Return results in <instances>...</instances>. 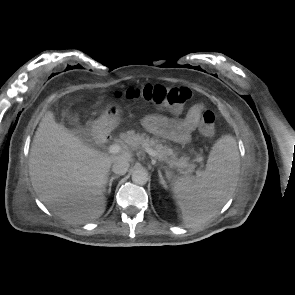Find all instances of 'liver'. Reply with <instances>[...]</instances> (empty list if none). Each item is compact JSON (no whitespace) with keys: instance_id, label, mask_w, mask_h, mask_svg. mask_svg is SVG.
I'll use <instances>...</instances> for the list:
<instances>
[{"instance_id":"6515ba94","label":"liver","mask_w":295,"mask_h":295,"mask_svg":"<svg viewBox=\"0 0 295 295\" xmlns=\"http://www.w3.org/2000/svg\"><path fill=\"white\" fill-rule=\"evenodd\" d=\"M119 160L132 161V154L109 156L89 147L48 111L33 138L29 173L37 196L56 215L69 222L91 221L106 209L104 188L111 165Z\"/></svg>"}]
</instances>
